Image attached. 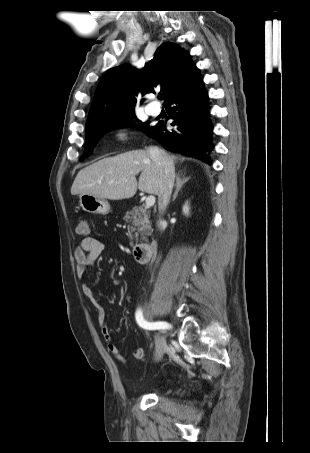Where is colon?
<instances>
[{
    "label": "colon",
    "mask_w": 310,
    "mask_h": 453,
    "mask_svg": "<svg viewBox=\"0 0 310 453\" xmlns=\"http://www.w3.org/2000/svg\"><path fill=\"white\" fill-rule=\"evenodd\" d=\"M76 232L78 235L80 236H87L89 235L90 233V226H89V223L86 219H81L79 222H78V225H77V228H76Z\"/></svg>",
    "instance_id": "obj_1"
}]
</instances>
